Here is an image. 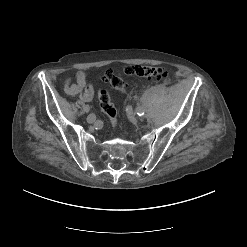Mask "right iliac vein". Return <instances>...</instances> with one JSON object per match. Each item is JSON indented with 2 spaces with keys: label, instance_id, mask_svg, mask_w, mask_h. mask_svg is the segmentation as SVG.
<instances>
[{
  "label": "right iliac vein",
  "instance_id": "right-iliac-vein-1",
  "mask_svg": "<svg viewBox=\"0 0 247 247\" xmlns=\"http://www.w3.org/2000/svg\"><path fill=\"white\" fill-rule=\"evenodd\" d=\"M97 111L93 110L92 114H89L87 117V122L88 123H93L95 121V117H96Z\"/></svg>",
  "mask_w": 247,
  "mask_h": 247
}]
</instances>
